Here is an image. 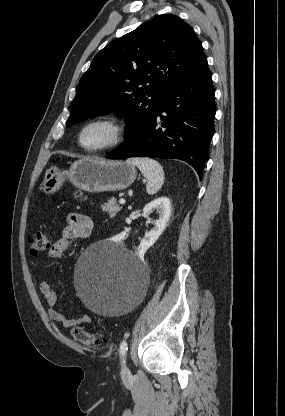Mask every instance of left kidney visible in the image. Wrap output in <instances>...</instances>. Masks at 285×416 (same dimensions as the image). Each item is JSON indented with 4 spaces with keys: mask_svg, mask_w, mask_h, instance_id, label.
<instances>
[{
    "mask_svg": "<svg viewBox=\"0 0 285 416\" xmlns=\"http://www.w3.org/2000/svg\"><path fill=\"white\" fill-rule=\"evenodd\" d=\"M152 210H157L159 220H156L155 228H152L150 232H146L143 240H141L136 250L138 256H144L146 250L151 248L156 240H158L159 236H161L162 232H164L171 216V202L169 198H158V200L150 202V204H147V206L143 208L144 214H149Z\"/></svg>",
    "mask_w": 285,
    "mask_h": 416,
    "instance_id": "5707ae66",
    "label": "left kidney"
}]
</instances>
